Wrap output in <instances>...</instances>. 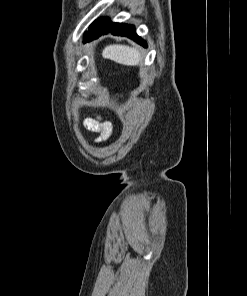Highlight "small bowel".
I'll list each match as a JSON object with an SVG mask.
<instances>
[{
  "label": "small bowel",
  "instance_id": "c3829d8e",
  "mask_svg": "<svg viewBox=\"0 0 247 296\" xmlns=\"http://www.w3.org/2000/svg\"><path fill=\"white\" fill-rule=\"evenodd\" d=\"M85 126L89 131L98 133L102 139H107L112 132L111 123L102 121L99 117L86 119Z\"/></svg>",
  "mask_w": 247,
  "mask_h": 296
}]
</instances>
